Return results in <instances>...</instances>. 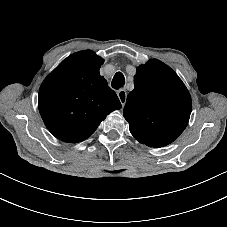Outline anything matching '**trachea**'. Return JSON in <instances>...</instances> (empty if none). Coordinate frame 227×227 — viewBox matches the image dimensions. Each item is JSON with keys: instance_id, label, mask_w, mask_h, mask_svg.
Listing matches in <instances>:
<instances>
[{"instance_id": "1", "label": "trachea", "mask_w": 227, "mask_h": 227, "mask_svg": "<svg viewBox=\"0 0 227 227\" xmlns=\"http://www.w3.org/2000/svg\"><path fill=\"white\" fill-rule=\"evenodd\" d=\"M125 84V77L123 75L122 72H117L114 77L113 80L111 82V86L118 90L119 88H121L123 85Z\"/></svg>"}]
</instances>
